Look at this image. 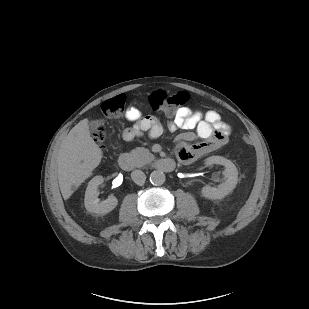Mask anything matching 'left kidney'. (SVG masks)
Listing matches in <instances>:
<instances>
[{
    "mask_svg": "<svg viewBox=\"0 0 309 309\" xmlns=\"http://www.w3.org/2000/svg\"><path fill=\"white\" fill-rule=\"evenodd\" d=\"M207 166L213 164H219L225 166L223 175L225 181L221 183L217 188L206 185L202 188L201 194L207 199H222L229 193H231L238 181V170L236 166L230 160L221 156H211L205 160Z\"/></svg>",
    "mask_w": 309,
    "mask_h": 309,
    "instance_id": "left-kidney-1",
    "label": "left kidney"
}]
</instances>
